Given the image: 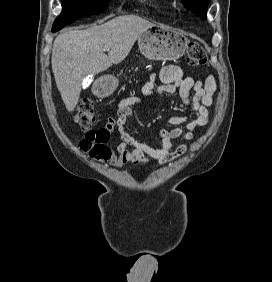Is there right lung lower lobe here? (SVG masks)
Returning <instances> with one entry per match:
<instances>
[{"label":"right lung lower lobe","instance_id":"right-lung-lower-lobe-1","mask_svg":"<svg viewBox=\"0 0 272 282\" xmlns=\"http://www.w3.org/2000/svg\"><path fill=\"white\" fill-rule=\"evenodd\" d=\"M64 26H65V25L58 26V27H53V28H52V32H56V31L62 29Z\"/></svg>","mask_w":272,"mask_h":282}]
</instances>
